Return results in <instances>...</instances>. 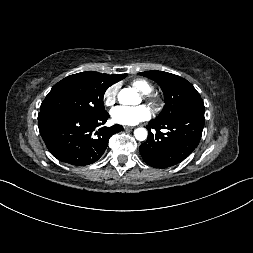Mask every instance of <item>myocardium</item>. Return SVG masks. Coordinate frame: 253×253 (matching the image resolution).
Wrapping results in <instances>:
<instances>
[{
  "label": "myocardium",
  "instance_id": "1",
  "mask_svg": "<svg viewBox=\"0 0 253 253\" xmlns=\"http://www.w3.org/2000/svg\"><path fill=\"white\" fill-rule=\"evenodd\" d=\"M144 98L156 108H158L162 103V97L158 93L150 92L148 94H144Z\"/></svg>",
  "mask_w": 253,
  "mask_h": 253
}]
</instances>
